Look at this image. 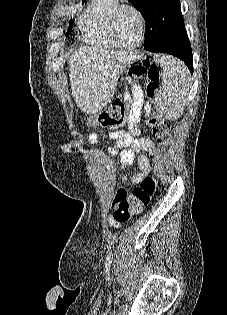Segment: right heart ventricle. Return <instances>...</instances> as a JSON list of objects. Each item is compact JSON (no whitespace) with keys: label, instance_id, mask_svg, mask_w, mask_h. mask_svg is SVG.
Here are the masks:
<instances>
[{"label":"right heart ventricle","instance_id":"1","mask_svg":"<svg viewBox=\"0 0 227 315\" xmlns=\"http://www.w3.org/2000/svg\"><path fill=\"white\" fill-rule=\"evenodd\" d=\"M119 4L120 0H89L80 17L81 28L88 43L105 48L114 47L108 36V21Z\"/></svg>","mask_w":227,"mask_h":315}]
</instances>
